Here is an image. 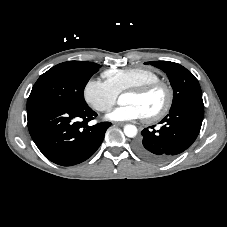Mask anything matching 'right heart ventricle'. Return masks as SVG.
<instances>
[{
	"mask_svg": "<svg viewBox=\"0 0 227 227\" xmlns=\"http://www.w3.org/2000/svg\"><path fill=\"white\" fill-rule=\"evenodd\" d=\"M103 77L117 94L160 80L156 72L143 67L107 70L103 73Z\"/></svg>",
	"mask_w": 227,
	"mask_h": 227,
	"instance_id": "right-heart-ventricle-1",
	"label": "right heart ventricle"
}]
</instances>
